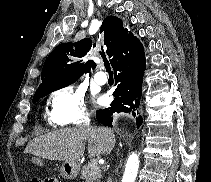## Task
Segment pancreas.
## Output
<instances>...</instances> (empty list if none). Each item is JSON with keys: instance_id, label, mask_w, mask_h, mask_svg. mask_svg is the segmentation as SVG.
<instances>
[{"instance_id": "cf45deb5", "label": "pancreas", "mask_w": 211, "mask_h": 182, "mask_svg": "<svg viewBox=\"0 0 211 182\" xmlns=\"http://www.w3.org/2000/svg\"><path fill=\"white\" fill-rule=\"evenodd\" d=\"M100 177L101 171L98 166V159H93L82 167L80 178L85 182H100Z\"/></svg>"}]
</instances>
